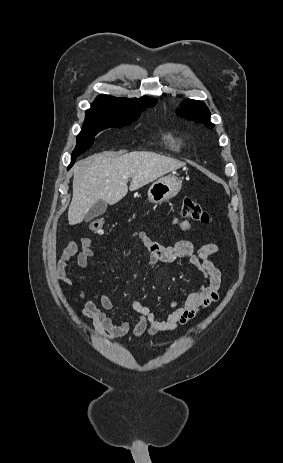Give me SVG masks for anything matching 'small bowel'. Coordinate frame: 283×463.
<instances>
[{"label":"small bowel","mask_w":283,"mask_h":463,"mask_svg":"<svg viewBox=\"0 0 283 463\" xmlns=\"http://www.w3.org/2000/svg\"><path fill=\"white\" fill-rule=\"evenodd\" d=\"M173 224L183 231L191 230V225L187 221L175 218ZM133 236L140 240L142 247L149 254L147 266L158 263L171 264L176 259H186L200 272L203 279L197 290L187 294L181 301L171 302L165 316L157 315L140 302L133 301L132 306L139 314L138 322L132 330L134 336H153L157 333L171 332L178 326L192 320L200 310L218 299L222 274L220 269L210 260V256L218 252L216 244L206 243L196 250L193 243L188 240L179 241L173 246H163L143 231H137ZM93 255L90 238H82L79 243L69 242L55 263L59 280L71 288L73 281L67 272L69 263L73 258H76L77 264L82 269L87 270L89 259ZM73 298L82 304V314L93 320L99 334L104 338L120 339L130 331V325L127 321L123 320L115 324L104 312V310L114 309V303L106 295H102L99 302L96 303L87 297L83 287H79L77 294H73Z\"/></svg>","instance_id":"obj_1"}]
</instances>
